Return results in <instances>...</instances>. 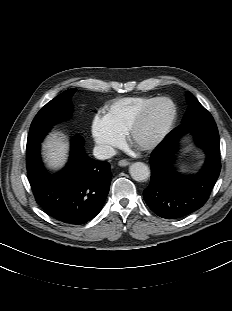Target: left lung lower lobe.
Returning a JSON list of instances; mask_svg holds the SVG:
<instances>
[{
    "instance_id": "obj_1",
    "label": "left lung lower lobe",
    "mask_w": 232,
    "mask_h": 311,
    "mask_svg": "<svg viewBox=\"0 0 232 311\" xmlns=\"http://www.w3.org/2000/svg\"><path fill=\"white\" fill-rule=\"evenodd\" d=\"M187 132L193 133L207 156L203 169L194 176H183L172 165L178 141ZM150 165L151 181L143 195L155 214L177 219L201 208L221 169L219 134L211 114L183 120L152 151Z\"/></svg>"
}]
</instances>
